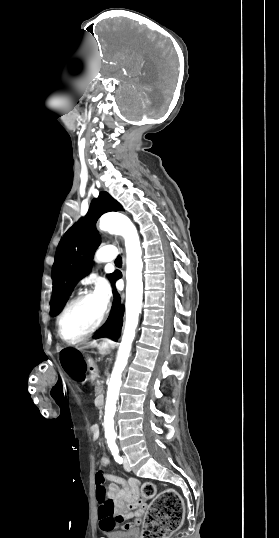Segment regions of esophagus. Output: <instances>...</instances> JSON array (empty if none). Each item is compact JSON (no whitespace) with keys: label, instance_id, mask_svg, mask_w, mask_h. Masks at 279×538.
<instances>
[{"label":"esophagus","instance_id":"1","mask_svg":"<svg viewBox=\"0 0 279 538\" xmlns=\"http://www.w3.org/2000/svg\"><path fill=\"white\" fill-rule=\"evenodd\" d=\"M123 263H125V259L123 258Z\"/></svg>","mask_w":279,"mask_h":538}]
</instances>
